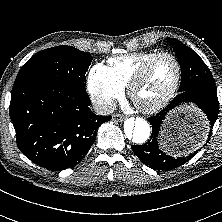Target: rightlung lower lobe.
<instances>
[{"label": "right lung lower lobe", "mask_w": 222, "mask_h": 222, "mask_svg": "<svg viewBox=\"0 0 222 222\" xmlns=\"http://www.w3.org/2000/svg\"><path fill=\"white\" fill-rule=\"evenodd\" d=\"M86 91L46 79L15 81L10 118L20 151L53 171L78 164L95 141L98 127L111 116L89 108Z\"/></svg>", "instance_id": "98d812e1"}]
</instances>
